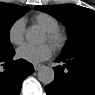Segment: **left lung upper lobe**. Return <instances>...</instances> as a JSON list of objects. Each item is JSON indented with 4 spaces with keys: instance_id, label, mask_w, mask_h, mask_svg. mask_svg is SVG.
<instances>
[{
    "instance_id": "obj_1",
    "label": "left lung upper lobe",
    "mask_w": 95,
    "mask_h": 95,
    "mask_svg": "<svg viewBox=\"0 0 95 95\" xmlns=\"http://www.w3.org/2000/svg\"><path fill=\"white\" fill-rule=\"evenodd\" d=\"M65 23L68 41L61 55L95 50V12L74 4L36 6Z\"/></svg>"
}]
</instances>
